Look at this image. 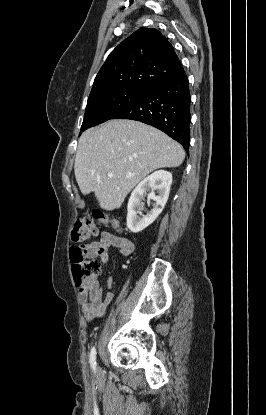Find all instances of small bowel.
<instances>
[{
  "instance_id": "1",
  "label": "small bowel",
  "mask_w": 266,
  "mask_h": 415,
  "mask_svg": "<svg viewBox=\"0 0 266 415\" xmlns=\"http://www.w3.org/2000/svg\"><path fill=\"white\" fill-rule=\"evenodd\" d=\"M111 248L118 249L123 256H129L134 251V243L125 237L104 231L98 241L85 245V250L91 259L98 260L102 265L110 262ZM112 281L109 280V285ZM102 287L99 281L92 277L83 286L78 288V296L85 318L89 321L104 315L108 306L114 299V293L108 292L102 295Z\"/></svg>"
}]
</instances>
